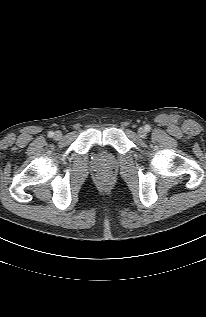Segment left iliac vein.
Segmentation results:
<instances>
[{"instance_id": "4c4485c4", "label": "left iliac vein", "mask_w": 206, "mask_h": 317, "mask_svg": "<svg viewBox=\"0 0 206 317\" xmlns=\"http://www.w3.org/2000/svg\"><path fill=\"white\" fill-rule=\"evenodd\" d=\"M138 134H139L140 137H145L146 134H147V131H146L145 128L141 127V128L138 129Z\"/></svg>"}]
</instances>
